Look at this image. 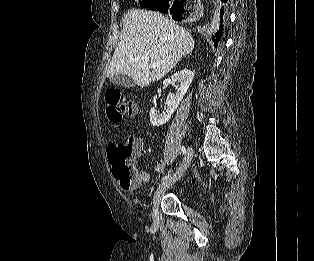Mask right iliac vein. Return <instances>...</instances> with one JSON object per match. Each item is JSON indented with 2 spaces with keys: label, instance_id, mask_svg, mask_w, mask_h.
I'll return each instance as SVG.
<instances>
[{
  "label": "right iliac vein",
  "instance_id": "obj_1",
  "mask_svg": "<svg viewBox=\"0 0 314 261\" xmlns=\"http://www.w3.org/2000/svg\"><path fill=\"white\" fill-rule=\"evenodd\" d=\"M192 156H193V149L192 147H189L178 170L171 177L166 179L164 182H162L158 186L154 194L153 201H152L151 214H152V219L154 222L158 221V207H159V203L162 196L164 195L166 190H168L173 184H175L183 176V174L187 170L192 160Z\"/></svg>",
  "mask_w": 314,
  "mask_h": 261
}]
</instances>
